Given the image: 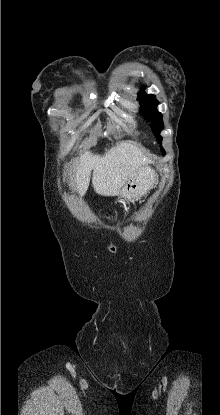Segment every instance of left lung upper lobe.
<instances>
[{"label": "left lung upper lobe", "instance_id": "5c2ea615", "mask_svg": "<svg viewBox=\"0 0 220 415\" xmlns=\"http://www.w3.org/2000/svg\"><path fill=\"white\" fill-rule=\"evenodd\" d=\"M138 100L142 105L140 113L151 122L152 131L157 141L161 143L162 137L160 136V132L163 128V120L162 114L158 112L156 109L158 101L156 100L154 95L145 94L143 91H140L138 93ZM161 150L163 154H165V151L162 147Z\"/></svg>", "mask_w": 220, "mask_h": 415}]
</instances>
